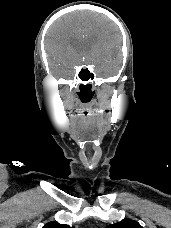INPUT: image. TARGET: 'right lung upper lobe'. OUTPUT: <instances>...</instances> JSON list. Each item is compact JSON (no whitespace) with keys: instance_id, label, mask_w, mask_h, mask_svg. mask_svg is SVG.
<instances>
[{"instance_id":"obj_1","label":"right lung upper lobe","mask_w":171,"mask_h":228,"mask_svg":"<svg viewBox=\"0 0 171 228\" xmlns=\"http://www.w3.org/2000/svg\"><path fill=\"white\" fill-rule=\"evenodd\" d=\"M43 228H71L65 224H59L57 222H49L43 226Z\"/></svg>"}]
</instances>
